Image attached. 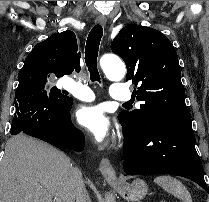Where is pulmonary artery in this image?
<instances>
[{
	"label": "pulmonary artery",
	"instance_id": "1",
	"mask_svg": "<svg viewBox=\"0 0 209 202\" xmlns=\"http://www.w3.org/2000/svg\"><path fill=\"white\" fill-rule=\"evenodd\" d=\"M62 83L74 97L81 101L89 102L95 99L94 93L89 87L82 85L73 79H64ZM111 97L113 100L126 102L130 100L131 92L128 88L121 86L119 81H114L112 82ZM136 105L138 106L139 102H136Z\"/></svg>",
	"mask_w": 209,
	"mask_h": 202
}]
</instances>
